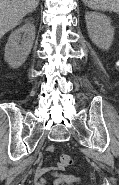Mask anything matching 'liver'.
Masks as SVG:
<instances>
[{
	"mask_svg": "<svg viewBox=\"0 0 119 185\" xmlns=\"http://www.w3.org/2000/svg\"><path fill=\"white\" fill-rule=\"evenodd\" d=\"M38 4L39 0H0V39L33 12Z\"/></svg>",
	"mask_w": 119,
	"mask_h": 185,
	"instance_id": "1",
	"label": "liver"
}]
</instances>
